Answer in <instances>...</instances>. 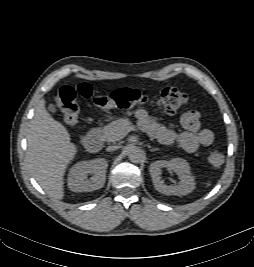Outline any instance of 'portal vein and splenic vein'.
<instances>
[{"label":"portal vein and splenic vein","mask_w":254,"mask_h":267,"mask_svg":"<svg viewBox=\"0 0 254 267\" xmlns=\"http://www.w3.org/2000/svg\"><path fill=\"white\" fill-rule=\"evenodd\" d=\"M131 130H134V127L133 126H129V127L125 128L122 133L125 136Z\"/></svg>","instance_id":"obj_1"}]
</instances>
